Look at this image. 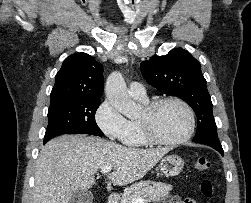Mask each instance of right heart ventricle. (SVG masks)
<instances>
[{
  "label": "right heart ventricle",
  "mask_w": 251,
  "mask_h": 203,
  "mask_svg": "<svg viewBox=\"0 0 251 203\" xmlns=\"http://www.w3.org/2000/svg\"><path fill=\"white\" fill-rule=\"evenodd\" d=\"M144 103L147 100H140ZM123 143L129 147H141L148 145L144 138L138 120H129L127 132L122 139Z\"/></svg>",
  "instance_id": "e07e8e85"
}]
</instances>
